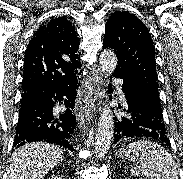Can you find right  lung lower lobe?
I'll list each match as a JSON object with an SVG mask.
<instances>
[{"instance_id": "1", "label": "right lung lower lobe", "mask_w": 183, "mask_h": 179, "mask_svg": "<svg viewBox=\"0 0 183 179\" xmlns=\"http://www.w3.org/2000/svg\"><path fill=\"white\" fill-rule=\"evenodd\" d=\"M78 80L69 84H39L22 95L14 147L27 142L45 141L73 150L71 134L76 125L72 108ZM56 104H64L66 111L53 115Z\"/></svg>"}]
</instances>
